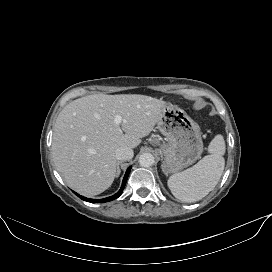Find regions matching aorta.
<instances>
[{
	"label": "aorta",
	"instance_id": "762f6f07",
	"mask_svg": "<svg viewBox=\"0 0 272 272\" xmlns=\"http://www.w3.org/2000/svg\"><path fill=\"white\" fill-rule=\"evenodd\" d=\"M155 163V158L151 153H143L139 157V164L142 167H150Z\"/></svg>",
	"mask_w": 272,
	"mask_h": 272
}]
</instances>
